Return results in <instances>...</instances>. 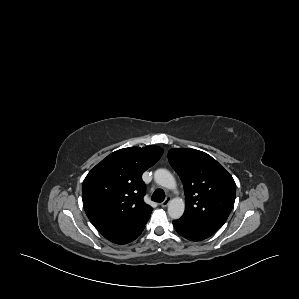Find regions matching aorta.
I'll use <instances>...</instances> for the list:
<instances>
[{"label":"aorta","instance_id":"1","mask_svg":"<svg viewBox=\"0 0 299 299\" xmlns=\"http://www.w3.org/2000/svg\"><path fill=\"white\" fill-rule=\"evenodd\" d=\"M155 182L165 188L176 191V181L173 175L166 169H157L154 173ZM185 210L184 201L176 197L168 204V214L172 219H179Z\"/></svg>","mask_w":299,"mask_h":299}]
</instances>
